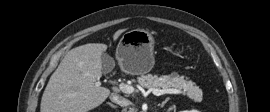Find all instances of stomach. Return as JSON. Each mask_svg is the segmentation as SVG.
Returning <instances> with one entry per match:
<instances>
[{
    "label": "stomach",
    "mask_w": 270,
    "mask_h": 112,
    "mask_svg": "<svg viewBox=\"0 0 270 112\" xmlns=\"http://www.w3.org/2000/svg\"><path fill=\"white\" fill-rule=\"evenodd\" d=\"M154 39L143 30L135 29L123 34L116 49V59L120 68L132 75L149 72L154 65Z\"/></svg>",
    "instance_id": "1"
}]
</instances>
